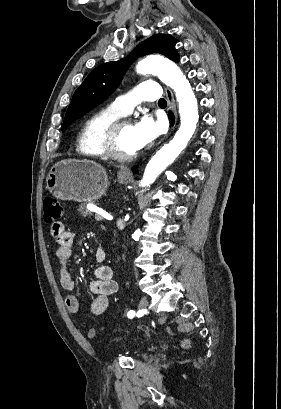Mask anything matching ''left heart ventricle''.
Returning a JSON list of instances; mask_svg holds the SVG:
<instances>
[{"instance_id":"left-heart-ventricle-1","label":"left heart ventricle","mask_w":281,"mask_h":409,"mask_svg":"<svg viewBox=\"0 0 281 409\" xmlns=\"http://www.w3.org/2000/svg\"><path fill=\"white\" fill-rule=\"evenodd\" d=\"M115 147L121 153H133L139 150L133 125L123 126L118 130Z\"/></svg>"}]
</instances>
